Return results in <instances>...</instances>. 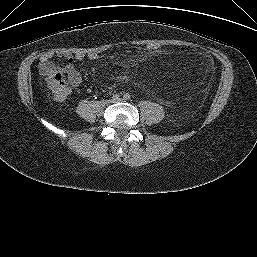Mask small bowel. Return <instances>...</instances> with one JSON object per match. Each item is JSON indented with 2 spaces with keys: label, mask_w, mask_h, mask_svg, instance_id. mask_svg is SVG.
Returning <instances> with one entry per match:
<instances>
[{
  "label": "small bowel",
  "mask_w": 257,
  "mask_h": 257,
  "mask_svg": "<svg viewBox=\"0 0 257 257\" xmlns=\"http://www.w3.org/2000/svg\"><path fill=\"white\" fill-rule=\"evenodd\" d=\"M83 54H76L72 57H65V65L59 67L55 65L51 60L50 56H45L41 59L39 64V71L42 75H46L50 71H60L67 75L70 86L74 89L78 88L82 82V76L76 67V62L83 59ZM90 59H95V54L89 55Z\"/></svg>",
  "instance_id": "obj_1"
}]
</instances>
